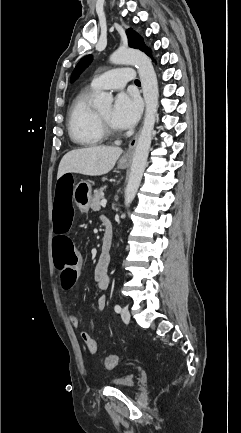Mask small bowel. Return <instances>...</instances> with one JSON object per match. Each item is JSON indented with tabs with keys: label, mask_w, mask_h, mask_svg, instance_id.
<instances>
[{
	"label": "small bowel",
	"mask_w": 241,
	"mask_h": 433,
	"mask_svg": "<svg viewBox=\"0 0 241 433\" xmlns=\"http://www.w3.org/2000/svg\"><path fill=\"white\" fill-rule=\"evenodd\" d=\"M110 266L109 257H104L102 254L98 258V261L94 269V279L99 290H106L110 285V277L108 275V269ZM107 299L105 296H100L97 300V308L99 311H103L106 307ZM69 321L73 327H78L80 324L79 318L75 315H70ZM81 338L85 343L88 351L92 354L97 353L99 349L98 341L90 335L88 332L82 331Z\"/></svg>",
	"instance_id": "obj_1"
}]
</instances>
